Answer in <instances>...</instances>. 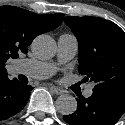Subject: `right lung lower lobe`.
<instances>
[{
    "label": "right lung lower lobe",
    "instance_id": "right-lung-lower-lobe-1",
    "mask_svg": "<svg viewBox=\"0 0 125 125\" xmlns=\"http://www.w3.org/2000/svg\"><path fill=\"white\" fill-rule=\"evenodd\" d=\"M32 89L17 79L10 80L7 75L1 76L0 121L20 112L26 105Z\"/></svg>",
    "mask_w": 125,
    "mask_h": 125
}]
</instances>
